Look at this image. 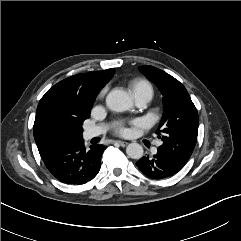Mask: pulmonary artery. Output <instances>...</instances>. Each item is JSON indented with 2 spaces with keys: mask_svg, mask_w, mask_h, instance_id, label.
Wrapping results in <instances>:
<instances>
[{
  "mask_svg": "<svg viewBox=\"0 0 241 241\" xmlns=\"http://www.w3.org/2000/svg\"><path fill=\"white\" fill-rule=\"evenodd\" d=\"M151 97H152L151 93L141 92V93L135 95L134 99L136 101L137 106L144 107L151 100ZM101 132H102V128L99 127V126L87 128L84 131V138L85 139H91V138L99 135Z\"/></svg>",
  "mask_w": 241,
  "mask_h": 241,
  "instance_id": "pulmonary-artery-1",
  "label": "pulmonary artery"
}]
</instances>
